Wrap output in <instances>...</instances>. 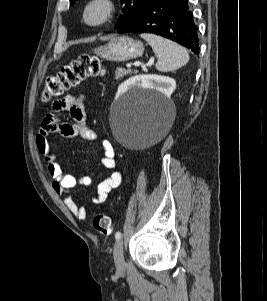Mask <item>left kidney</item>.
I'll use <instances>...</instances> for the list:
<instances>
[{
  "instance_id": "1",
  "label": "left kidney",
  "mask_w": 267,
  "mask_h": 301,
  "mask_svg": "<svg viewBox=\"0 0 267 301\" xmlns=\"http://www.w3.org/2000/svg\"><path fill=\"white\" fill-rule=\"evenodd\" d=\"M135 86L157 91L166 97H170L176 88V82L170 77L161 75H137L128 79L118 87L116 97H120Z\"/></svg>"
}]
</instances>
